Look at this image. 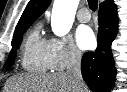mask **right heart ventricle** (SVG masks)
Returning <instances> with one entry per match:
<instances>
[{
    "label": "right heart ventricle",
    "mask_w": 127,
    "mask_h": 92,
    "mask_svg": "<svg viewBox=\"0 0 127 92\" xmlns=\"http://www.w3.org/2000/svg\"><path fill=\"white\" fill-rule=\"evenodd\" d=\"M22 68L27 72L46 73L51 70L47 61V40L36 25L25 37L20 58Z\"/></svg>",
    "instance_id": "obj_1"
}]
</instances>
